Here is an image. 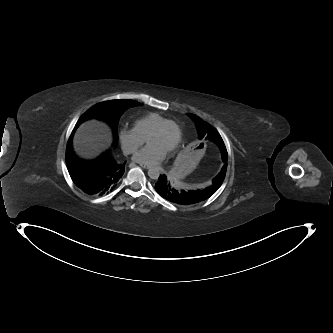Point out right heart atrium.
Listing matches in <instances>:
<instances>
[{"label": "right heart atrium", "mask_w": 333, "mask_h": 333, "mask_svg": "<svg viewBox=\"0 0 333 333\" xmlns=\"http://www.w3.org/2000/svg\"><path fill=\"white\" fill-rule=\"evenodd\" d=\"M121 146L125 153L133 154L145 142L143 138L134 128H122L119 133Z\"/></svg>", "instance_id": "1"}]
</instances>
